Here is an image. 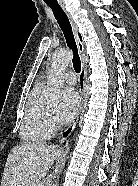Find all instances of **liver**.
Segmentation results:
<instances>
[{"mask_svg": "<svg viewBox=\"0 0 138 186\" xmlns=\"http://www.w3.org/2000/svg\"><path fill=\"white\" fill-rule=\"evenodd\" d=\"M60 156L55 146L45 143H24L10 151L3 171L1 186H32L37 177L49 172Z\"/></svg>", "mask_w": 138, "mask_h": 186, "instance_id": "obj_1", "label": "liver"}]
</instances>
